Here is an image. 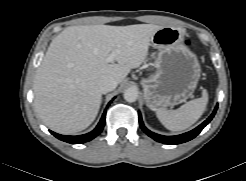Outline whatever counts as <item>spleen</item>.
I'll return each mask as SVG.
<instances>
[{
  "label": "spleen",
  "mask_w": 246,
  "mask_h": 181,
  "mask_svg": "<svg viewBox=\"0 0 246 181\" xmlns=\"http://www.w3.org/2000/svg\"><path fill=\"white\" fill-rule=\"evenodd\" d=\"M208 103V93L203 90L202 97L191 100L176 110L157 109L159 121L171 131H182L193 125L204 113Z\"/></svg>",
  "instance_id": "obj_1"
}]
</instances>
